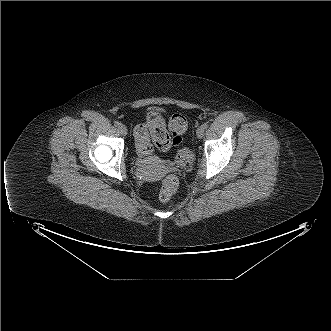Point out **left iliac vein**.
Wrapping results in <instances>:
<instances>
[{
  "label": "left iliac vein",
  "mask_w": 331,
  "mask_h": 331,
  "mask_svg": "<svg viewBox=\"0 0 331 331\" xmlns=\"http://www.w3.org/2000/svg\"><path fill=\"white\" fill-rule=\"evenodd\" d=\"M204 133H205V129L203 126H200L199 128H197L196 135L199 139L203 138Z\"/></svg>",
  "instance_id": "left-iliac-vein-1"
}]
</instances>
